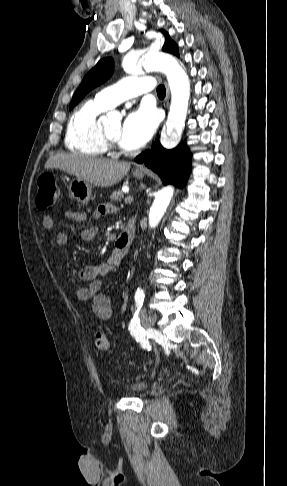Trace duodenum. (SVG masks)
<instances>
[{
    "mask_svg": "<svg viewBox=\"0 0 287 486\" xmlns=\"http://www.w3.org/2000/svg\"><path fill=\"white\" fill-rule=\"evenodd\" d=\"M135 220L134 218L128 219L122 233L118 236L115 243V250L119 254H124L128 251L134 236H135Z\"/></svg>",
    "mask_w": 287,
    "mask_h": 486,
    "instance_id": "obj_1",
    "label": "duodenum"
}]
</instances>
